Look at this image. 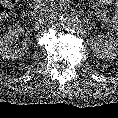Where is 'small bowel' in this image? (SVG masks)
<instances>
[{
    "instance_id": "1",
    "label": "small bowel",
    "mask_w": 118,
    "mask_h": 118,
    "mask_svg": "<svg viewBox=\"0 0 118 118\" xmlns=\"http://www.w3.org/2000/svg\"><path fill=\"white\" fill-rule=\"evenodd\" d=\"M116 6H117V8H118V2H117V4H116Z\"/></svg>"
}]
</instances>
